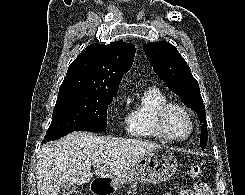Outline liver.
I'll list each match as a JSON object with an SVG mask.
<instances>
[{
	"label": "liver",
	"mask_w": 245,
	"mask_h": 195,
	"mask_svg": "<svg viewBox=\"0 0 245 195\" xmlns=\"http://www.w3.org/2000/svg\"><path fill=\"white\" fill-rule=\"evenodd\" d=\"M156 149L161 146L153 142L73 132L41 148L36 167L38 195H57L62 183H87L93 177L91 167L98 164L103 166L95 170L96 176L113 178Z\"/></svg>",
	"instance_id": "6515ba94"
}]
</instances>
